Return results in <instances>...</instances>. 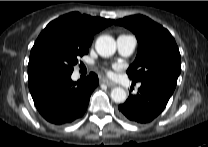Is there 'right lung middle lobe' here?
Listing matches in <instances>:
<instances>
[{
  "mask_svg": "<svg viewBox=\"0 0 208 147\" xmlns=\"http://www.w3.org/2000/svg\"><path fill=\"white\" fill-rule=\"evenodd\" d=\"M88 53V47L72 41L56 40L42 46L34 60V68L39 73H72L78 58Z\"/></svg>",
  "mask_w": 208,
  "mask_h": 147,
  "instance_id": "1",
  "label": "right lung middle lobe"
}]
</instances>
